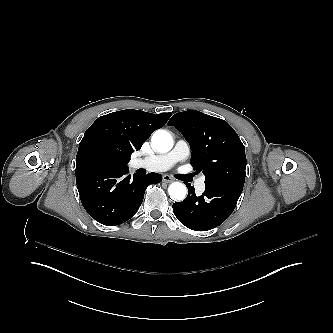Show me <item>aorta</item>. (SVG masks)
<instances>
[{"label": "aorta", "instance_id": "762f6f07", "mask_svg": "<svg viewBox=\"0 0 333 333\" xmlns=\"http://www.w3.org/2000/svg\"><path fill=\"white\" fill-rule=\"evenodd\" d=\"M152 147L159 153H167L173 147V139L171 135L165 130H156L153 133ZM168 193L176 200H183L186 196V186L180 182H173L168 187Z\"/></svg>", "mask_w": 333, "mask_h": 333}]
</instances>
